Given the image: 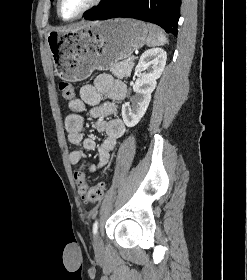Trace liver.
Here are the masks:
<instances>
[{
  "instance_id": "6515ba94",
  "label": "liver",
  "mask_w": 247,
  "mask_h": 280,
  "mask_svg": "<svg viewBox=\"0 0 247 280\" xmlns=\"http://www.w3.org/2000/svg\"><path fill=\"white\" fill-rule=\"evenodd\" d=\"M87 24H88L87 22L77 23V24L70 25L66 28L60 29L59 31H67V30H71V29L81 28V27L86 26Z\"/></svg>"
}]
</instances>
